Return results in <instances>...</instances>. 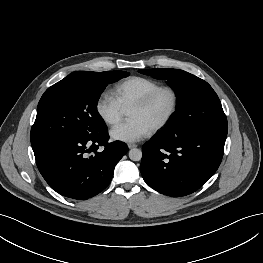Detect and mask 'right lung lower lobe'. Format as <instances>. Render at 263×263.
<instances>
[{
	"instance_id": "obj_1",
	"label": "right lung lower lobe",
	"mask_w": 263,
	"mask_h": 263,
	"mask_svg": "<svg viewBox=\"0 0 263 263\" xmlns=\"http://www.w3.org/2000/svg\"><path fill=\"white\" fill-rule=\"evenodd\" d=\"M108 139L106 127L96 134L54 141L34 151L37 167L57 193L88 199L109 185L115 165L128 151L125 143ZM100 146L103 151H97Z\"/></svg>"
}]
</instances>
